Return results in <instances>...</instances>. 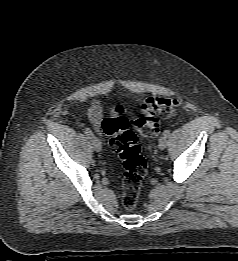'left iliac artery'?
I'll list each match as a JSON object with an SVG mask.
<instances>
[{"mask_svg": "<svg viewBox=\"0 0 238 261\" xmlns=\"http://www.w3.org/2000/svg\"><path fill=\"white\" fill-rule=\"evenodd\" d=\"M163 135L166 136V137L170 136V131L169 130H165L163 132Z\"/></svg>", "mask_w": 238, "mask_h": 261, "instance_id": "left-iliac-artery-1", "label": "left iliac artery"}]
</instances>
